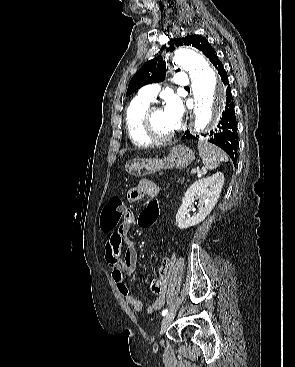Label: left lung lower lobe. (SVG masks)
<instances>
[{
    "mask_svg": "<svg viewBox=\"0 0 295 367\" xmlns=\"http://www.w3.org/2000/svg\"><path fill=\"white\" fill-rule=\"evenodd\" d=\"M212 64L218 71L219 76L222 79L224 85H226V105L222 113V118L219 121L218 129L215 132H210L209 142L217 145L223 149L232 159L234 165L237 162V147H238V134L237 123L234 113V103L231 95V87L229 85L228 76L224 70L221 61L216 58ZM200 136H206L204 134L193 136L189 131H186L182 139H193Z\"/></svg>",
    "mask_w": 295,
    "mask_h": 367,
    "instance_id": "obj_1",
    "label": "left lung lower lobe"
}]
</instances>
